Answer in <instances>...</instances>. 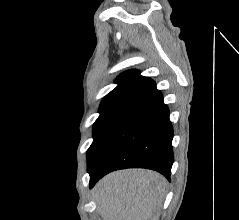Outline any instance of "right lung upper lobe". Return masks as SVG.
Segmentation results:
<instances>
[{
    "instance_id": "obj_1",
    "label": "right lung upper lobe",
    "mask_w": 239,
    "mask_h": 220,
    "mask_svg": "<svg viewBox=\"0 0 239 220\" xmlns=\"http://www.w3.org/2000/svg\"><path fill=\"white\" fill-rule=\"evenodd\" d=\"M118 86L102 100L99 112L119 107H132L145 95L156 89L155 82L149 77L141 76L137 70L122 73L117 79Z\"/></svg>"
}]
</instances>
